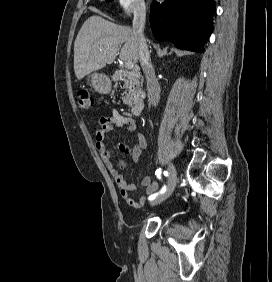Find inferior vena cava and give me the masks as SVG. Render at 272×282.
<instances>
[{
    "label": "inferior vena cava",
    "instance_id": "inferior-vena-cava-1",
    "mask_svg": "<svg viewBox=\"0 0 272 282\" xmlns=\"http://www.w3.org/2000/svg\"><path fill=\"white\" fill-rule=\"evenodd\" d=\"M145 21L146 6L144 2H139L134 11L132 31L139 45V59L147 81L148 102L149 105L157 106L161 89L151 64L150 53L144 37Z\"/></svg>",
    "mask_w": 272,
    "mask_h": 282
}]
</instances>
